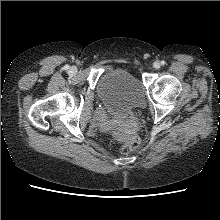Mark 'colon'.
Instances as JSON below:
<instances>
[{
	"label": "colon",
	"mask_w": 220,
	"mask_h": 220,
	"mask_svg": "<svg viewBox=\"0 0 220 220\" xmlns=\"http://www.w3.org/2000/svg\"><path fill=\"white\" fill-rule=\"evenodd\" d=\"M113 136L116 140L120 141L123 153L132 152L138 145V139L135 135L127 132L121 126L116 125L113 129Z\"/></svg>",
	"instance_id": "1"
}]
</instances>
